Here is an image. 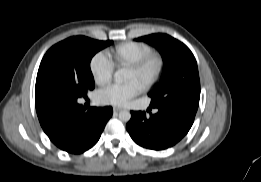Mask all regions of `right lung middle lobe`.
<instances>
[{"label": "right lung middle lobe", "instance_id": "1", "mask_svg": "<svg viewBox=\"0 0 261 182\" xmlns=\"http://www.w3.org/2000/svg\"><path fill=\"white\" fill-rule=\"evenodd\" d=\"M113 41L84 36L70 37L44 55L36 79V107L56 100L77 101L95 87L90 70L92 57Z\"/></svg>", "mask_w": 261, "mask_h": 182}]
</instances>
